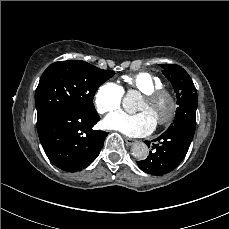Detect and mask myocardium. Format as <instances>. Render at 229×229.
Returning a JSON list of instances; mask_svg holds the SVG:
<instances>
[{
    "label": "myocardium",
    "mask_w": 229,
    "mask_h": 229,
    "mask_svg": "<svg viewBox=\"0 0 229 229\" xmlns=\"http://www.w3.org/2000/svg\"><path fill=\"white\" fill-rule=\"evenodd\" d=\"M143 97L151 103L166 100L169 103L167 114L164 117L157 118L155 121L161 126H169L173 123L179 110V102L173 92L162 87L144 93Z\"/></svg>",
    "instance_id": "myocardium-1"
}]
</instances>
